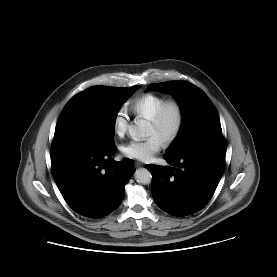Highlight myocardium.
I'll use <instances>...</instances> for the list:
<instances>
[{
    "label": "myocardium",
    "mask_w": 277,
    "mask_h": 277,
    "mask_svg": "<svg viewBox=\"0 0 277 277\" xmlns=\"http://www.w3.org/2000/svg\"><path fill=\"white\" fill-rule=\"evenodd\" d=\"M170 110H174L176 120L173 129L162 139V142L165 146L172 145L178 139L183 130L185 123V112L182 104L176 99H167L159 108L154 117L149 120L150 124H152L155 128L161 129Z\"/></svg>",
    "instance_id": "obj_1"
}]
</instances>
